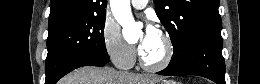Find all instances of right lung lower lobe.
I'll use <instances>...</instances> for the list:
<instances>
[{
  "label": "right lung lower lobe",
  "mask_w": 260,
  "mask_h": 84,
  "mask_svg": "<svg viewBox=\"0 0 260 84\" xmlns=\"http://www.w3.org/2000/svg\"><path fill=\"white\" fill-rule=\"evenodd\" d=\"M88 65H92V66H104L106 65L105 62L99 61V60H94V59H84V60H80L77 61L75 63H72L70 65H68L67 67H65L60 73L59 75L52 80L51 82H47L45 81L46 84H55L61 77H63L64 75H66L67 73H69L70 71L82 67V66H88Z\"/></svg>",
  "instance_id": "right-lung-lower-lobe-1"
}]
</instances>
